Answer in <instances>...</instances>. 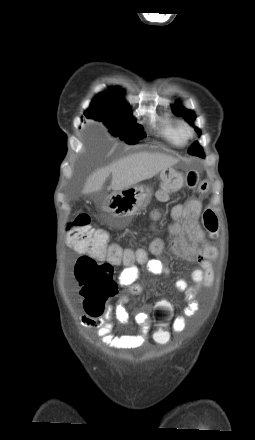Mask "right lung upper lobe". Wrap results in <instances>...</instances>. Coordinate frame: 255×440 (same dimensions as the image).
<instances>
[{
  "instance_id": "obj_1",
  "label": "right lung upper lobe",
  "mask_w": 255,
  "mask_h": 440,
  "mask_svg": "<svg viewBox=\"0 0 255 440\" xmlns=\"http://www.w3.org/2000/svg\"><path fill=\"white\" fill-rule=\"evenodd\" d=\"M122 90L118 87L110 88L108 94L100 93L94 99L93 103L103 104L105 106L120 107L129 105L122 97Z\"/></svg>"
}]
</instances>
